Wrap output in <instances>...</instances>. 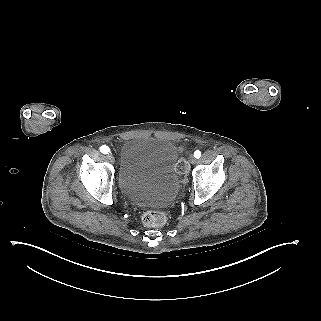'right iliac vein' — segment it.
<instances>
[{
	"instance_id": "1",
	"label": "right iliac vein",
	"mask_w": 321,
	"mask_h": 321,
	"mask_svg": "<svg viewBox=\"0 0 321 321\" xmlns=\"http://www.w3.org/2000/svg\"><path fill=\"white\" fill-rule=\"evenodd\" d=\"M107 158L110 162L114 163L115 159L114 156L112 154L107 155Z\"/></svg>"
}]
</instances>
